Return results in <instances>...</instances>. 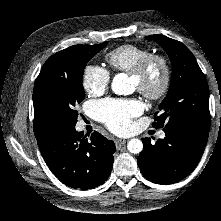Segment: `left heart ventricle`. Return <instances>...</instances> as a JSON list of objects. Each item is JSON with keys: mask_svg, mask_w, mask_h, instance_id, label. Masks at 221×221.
Returning a JSON list of instances; mask_svg holds the SVG:
<instances>
[{"mask_svg": "<svg viewBox=\"0 0 221 221\" xmlns=\"http://www.w3.org/2000/svg\"><path fill=\"white\" fill-rule=\"evenodd\" d=\"M161 79V69L159 67H154L146 77L145 83L150 87H155L158 85ZM132 84L136 87L137 81L131 77Z\"/></svg>", "mask_w": 221, "mask_h": 221, "instance_id": "b2bd125f", "label": "left heart ventricle"}]
</instances>
